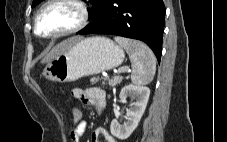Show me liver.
<instances>
[{
  "mask_svg": "<svg viewBox=\"0 0 227 142\" xmlns=\"http://www.w3.org/2000/svg\"><path fill=\"white\" fill-rule=\"evenodd\" d=\"M81 40V37H73L63 42L57 44L52 50L42 59L41 63H47L65 52L68 48H70L75 42Z\"/></svg>",
  "mask_w": 227,
  "mask_h": 142,
  "instance_id": "liver-1",
  "label": "liver"
}]
</instances>
